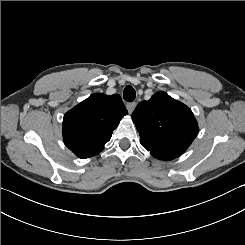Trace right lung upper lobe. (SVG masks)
Instances as JSON below:
<instances>
[{"label":"right lung upper lobe","mask_w":245,"mask_h":245,"mask_svg":"<svg viewBox=\"0 0 245 245\" xmlns=\"http://www.w3.org/2000/svg\"><path fill=\"white\" fill-rule=\"evenodd\" d=\"M126 114L118 94H93L64 115V143L79 158L94 156L102 151Z\"/></svg>","instance_id":"1"}]
</instances>
